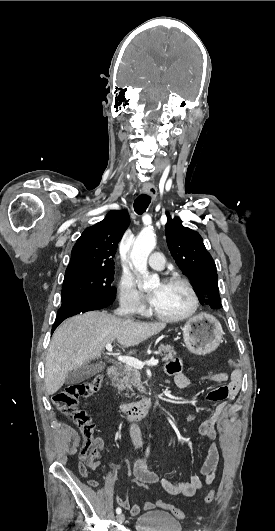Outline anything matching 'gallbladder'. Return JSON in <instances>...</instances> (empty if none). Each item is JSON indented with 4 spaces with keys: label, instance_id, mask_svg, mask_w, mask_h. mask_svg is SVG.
<instances>
[{
    "label": "gallbladder",
    "instance_id": "1",
    "mask_svg": "<svg viewBox=\"0 0 275 531\" xmlns=\"http://www.w3.org/2000/svg\"><path fill=\"white\" fill-rule=\"evenodd\" d=\"M103 369H105V363H86V365H82L79 369L69 371L65 383L66 385H78V383L94 377L96 373H101Z\"/></svg>",
    "mask_w": 275,
    "mask_h": 531
}]
</instances>
